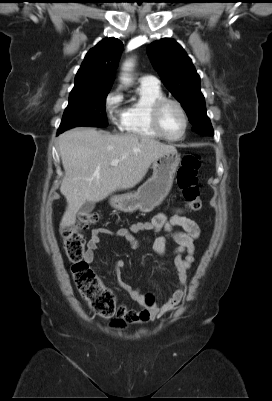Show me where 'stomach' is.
<instances>
[{"label": "stomach", "instance_id": "0dacf381", "mask_svg": "<svg viewBox=\"0 0 272 401\" xmlns=\"http://www.w3.org/2000/svg\"><path fill=\"white\" fill-rule=\"evenodd\" d=\"M177 152L166 153L152 163L153 175L137 191L114 195L110 198L113 208L123 212H151L159 206L171 190L180 163Z\"/></svg>", "mask_w": 272, "mask_h": 401}]
</instances>
